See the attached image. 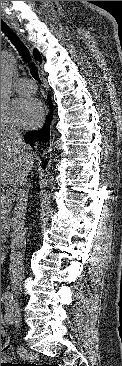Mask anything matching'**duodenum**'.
I'll use <instances>...</instances> for the list:
<instances>
[{"label":"duodenum","mask_w":122,"mask_h":366,"mask_svg":"<svg viewBox=\"0 0 122 366\" xmlns=\"http://www.w3.org/2000/svg\"><path fill=\"white\" fill-rule=\"evenodd\" d=\"M8 254V248L6 246H1V260Z\"/></svg>","instance_id":"410a0bca"}]
</instances>
